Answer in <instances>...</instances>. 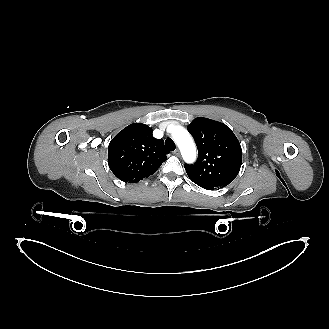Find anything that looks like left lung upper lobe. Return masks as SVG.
Wrapping results in <instances>:
<instances>
[{
  "label": "left lung upper lobe",
  "mask_w": 329,
  "mask_h": 329,
  "mask_svg": "<svg viewBox=\"0 0 329 329\" xmlns=\"http://www.w3.org/2000/svg\"><path fill=\"white\" fill-rule=\"evenodd\" d=\"M188 130L198 149L196 163L185 165L188 177L208 190L230 184L242 163V149L232 130L221 122L203 117L195 118Z\"/></svg>",
  "instance_id": "5c2ea615"
}]
</instances>
